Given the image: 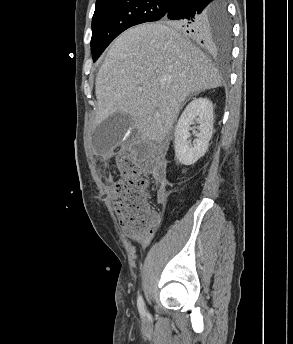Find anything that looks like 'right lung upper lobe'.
I'll use <instances>...</instances> for the list:
<instances>
[{
    "instance_id": "right-lung-upper-lobe-1",
    "label": "right lung upper lobe",
    "mask_w": 293,
    "mask_h": 344,
    "mask_svg": "<svg viewBox=\"0 0 293 344\" xmlns=\"http://www.w3.org/2000/svg\"><path fill=\"white\" fill-rule=\"evenodd\" d=\"M101 1H106V0H96V4L101 2ZM171 1H173V0H171ZM206 45H210V44H206Z\"/></svg>"
}]
</instances>
